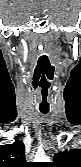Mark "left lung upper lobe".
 Instances as JSON below:
<instances>
[{
    "mask_svg": "<svg viewBox=\"0 0 81 167\" xmlns=\"http://www.w3.org/2000/svg\"><path fill=\"white\" fill-rule=\"evenodd\" d=\"M53 161L49 167H81V150L58 152L54 155Z\"/></svg>",
    "mask_w": 81,
    "mask_h": 167,
    "instance_id": "obj_1",
    "label": "left lung upper lobe"
}]
</instances>
